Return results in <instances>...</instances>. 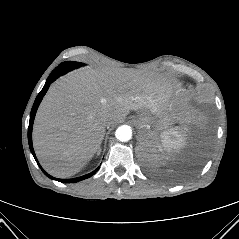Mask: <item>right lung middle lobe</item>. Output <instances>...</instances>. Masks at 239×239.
I'll list each match as a JSON object with an SVG mask.
<instances>
[{
    "label": "right lung middle lobe",
    "mask_w": 239,
    "mask_h": 239,
    "mask_svg": "<svg viewBox=\"0 0 239 239\" xmlns=\"http://www.w3.org/2000/svg\"><path fill=\"white\" fill-rule=\"evenodd\" d=\"M84 64L79 63V62H74V61H66L61 64H59L50 74L49 78L51 79L54 77V79L58 78L59 76L75 69L80 66H83Z\"/></svg>",
    "instance_id": "dd1d6c3e"
}]
</instances>
